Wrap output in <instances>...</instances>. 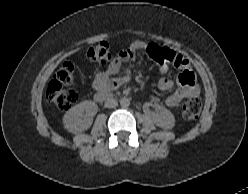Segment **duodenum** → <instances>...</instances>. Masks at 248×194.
I'll return each instance as SVG.
<instances>
[{"label": "duodenum", "instance_id": "410a0bca", "mask_svg": "<svg viewBox=\"0 0 248 194\" xmlns=\"http://www.w3.org/2000/svg\"><path fill=\"white\" fill-rule=\"evenodd\" d=\"M116 95L110 92H97L95 95V99L98 102H103L106 100H109L111 98H114Z\"/></svg>", "mask_w": 248, "mask_h": 194}]
</instances>
